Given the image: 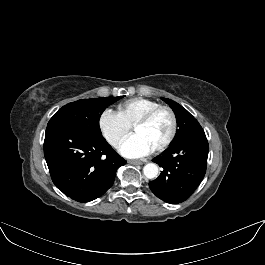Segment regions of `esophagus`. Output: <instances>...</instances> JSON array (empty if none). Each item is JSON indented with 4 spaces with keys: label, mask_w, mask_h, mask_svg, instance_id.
I'll return each mask as SVG.
<instances>
[{
    "label": "esophagus",
    "mask_w": 265,
    "mask_h": 265,
    "mask_svg": "<svg viewBox=\"0 0 265 265\" xmlns=\"http://www.w3.org/2000/svg\"><path fill=\"white\" fill-rule=\"evenodd\" d=\"M132 165H142L144 162L140 160H129L128 161Z\"/></svg>",
    "instance_id": "esophagus-1"
}]
</instances>
